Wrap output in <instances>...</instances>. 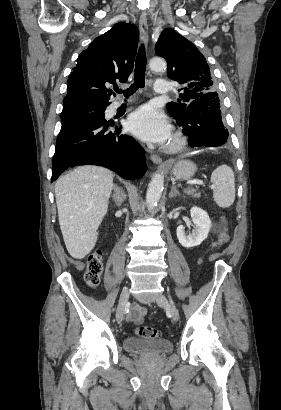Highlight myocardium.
<instances>
[{
	"instance_id": "obj_1",
	"label": "myocardium",
	"mask_w": 281,
	"mask_h": 410,
	"mask_svg": "<svg viewBox=\"0 0 281 410\" xmlns=\"http://www.w3.org/2000/svg\"><path fill=\"white\" fill-rule=\"evenodd\" d=\"M187 143V138L181 131H175L171 137L170 142L164 147L168 153H177L181 151Z\"/></svg>"
}]
</instances>
